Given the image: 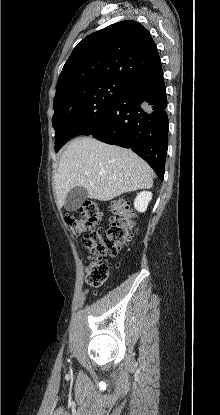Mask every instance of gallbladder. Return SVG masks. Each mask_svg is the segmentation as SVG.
<instances>
[{
  "label": "gallbladder",
  "instance_id": "gallbladder-1",
  "mask_svg": "<svg viewBox=\"0 0 220 415\" xmlns=\"http://www.w3.org/2000/svg\"><path fill=\"white\" fill-rule=\"evenodd\" d=\"M87 197L88 192L84 187H75L68 192L64 202V208L67 211H76Z\"/></svg>",
  "mask_w": 220,
  "mask_h": 415
}]
</instances>
